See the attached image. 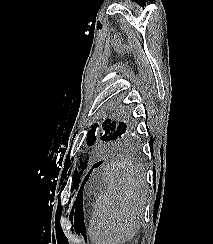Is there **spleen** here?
<instances>
[{"label":"spleen","instance_id":"obj_1","mask_svg":"<svg viewBox=\"0 0 213 244\" xmlns=\"http://www.w3.org/2000/svg\"><path fill=\"white\" fill-rule=\"evenodd\" d=\"M102 188L93 205L89 232L95 244H123L139 230L148 190L132 164L112 161L103 168Z\"/></svg>","mask_w":213,"mask_h":244}]
</instances>
